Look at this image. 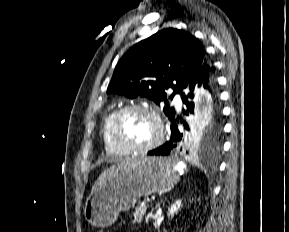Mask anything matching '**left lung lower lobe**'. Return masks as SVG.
<instances>
[{"mask_svg": "<svg viewBox=\"0 0 289 232\" xmlns=\"http://www.w3.org/2000/svg\"><path fill=\"white\" fill-rule=\"evenodd\" d=\"M202 86L206 89L207 94L209 96V100L211 102V107L209 111L202 117L203 119L207 120L212 118L213 116H218L221 120V111L218 105V96L216 90V80L214 76L213 66L210 64L208 60H204L201 67L198 69L192 80L188 83L185 87L187 90L186 93H181V98L183 103L187 106V110L183 111L186 115L188 113H193L194 103L191 101L194 98V90L197 87ZM178 119L175 120L173 118L171 120V137L170 141L166 142L164 145L160 146L157 149L148 152V155L153 156H167L171 152H188L189 150L186 149V144L184 141L183 133L178 129ZM199 122V124H200ZM188 130L189 127L186 126Z\"/></svg>", "mask_w": 289, "mask_h": 232, "instance_id": "1", "label": "left lung lower lobe"}]
</instances>
